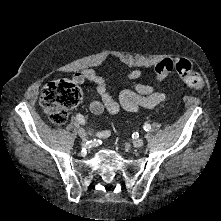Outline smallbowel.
<instances>
[{
	"label": "small bowel",
	"mask_w": 221,
	"mask_h": 221,
	"mask_svg": "<svg viewBox=\"0 0 221 221\" xmlns=\"http://www.w3.org/2000/svg\"><path fill=\"white\" fill-rule=\"evenodd\" d=\"M142 75L141 69H134L126 74L129 80H136ZM77 84L91 81L96 84V92L99 99L93 98L90 102V111L94 114H102L106 111L109 115H116L121 109L135 113L140 109L154 108L167 99L166 93L159 91L149 84H133L131 88L123 90L115 100L108 90L107 80L93 69H83L73 75Z\"/></svg>",
	"instance_id": "obj_1"
}]
</instances>
